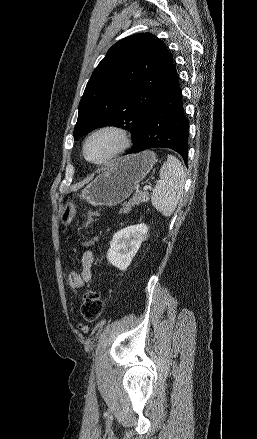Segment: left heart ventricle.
Returning <instances> with one entry per match:
<instances>
[{"label":"left heart ventricle","instance_id":"b2bd125f","mask_svg":"<svg viewBox=\"0 0 257 439\" xmlns=\"http://www.w3.org/2000/svg\"><path fill=\"white\" fill-rule=\"evenodd\" d=\"M118 146L117 138L111 133H102L94 137L87 148L90 159L99 161L110 155Z\"/></svg>","mask_w":257,"mask_h":439}]
</instances>
